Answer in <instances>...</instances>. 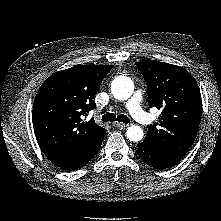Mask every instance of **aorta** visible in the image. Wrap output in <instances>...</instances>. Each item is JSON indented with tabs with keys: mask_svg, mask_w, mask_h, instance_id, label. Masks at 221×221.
I'll list each match as a JSON object with an SVG mask.
<instances>
[{
	"mask_svg": "<svg viewBox=\"0 0 221 221\" xmlns=\"http://www.w3.org/2000/svg\"><path fill=\"white\" fill-rule=\"evenodd\" d=\"M113 96L118 100H127L133 93L134 84L128 77H119L111 85ZM127 138L139 142L143 138V130L139 126H130L126 132Z\"/></svg>",
	"mask_w": 221,
	"mask_h": 221,
	"instance_id": "1",
	"label": "aorta"
}]
</instances>
